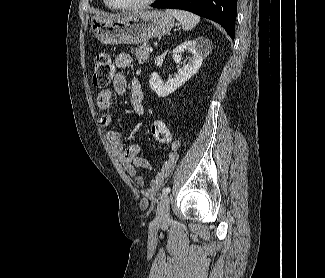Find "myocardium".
Instances as JSON below:
<instances>
[{
  "mask_svg": "<svg viewBox=\"0 0 325 278\" xmlns=\"http://www.w3.org/2000/svg\"><path fill=\"white\" fill-rule=\"evenodd\" d=\"M156 0H144L140 3H136V4H128V5H120L117 4L114 0H107V3L109 4V6L113 9H117V10H137V9H142V8H146L148 6H150L151 4H153Z\"/></svg>",
  "mask_w": 325,
  "mask_h": 278,
  "instance_id": "obj_1",
  "label": "myocardium"
}]
</instances>
